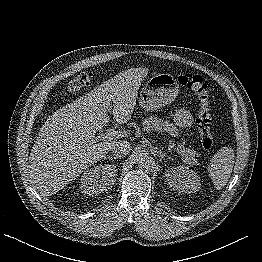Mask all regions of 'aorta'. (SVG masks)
Wrapping results in <instances>:
<instances>
[{
	"label": "aorta",
	"mask_w": 262,
	"mask_h": 262,
	"mask_svg": "<svg viewBox=\"0 0 262 262\" xmlns=\"http://www.w3.org/2000/svg\"><path fill=\"white\" fill-rule=\"evenodd\" d=\"M137 160L139 164L143 167H146L149 165L150 159L145 153H138L137 154Z\"/></svg>",
	"instance_id": "obj_1"
}]
</instances>
